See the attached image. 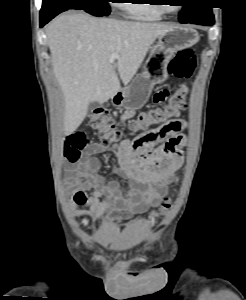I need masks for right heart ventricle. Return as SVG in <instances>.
<instances>
[{
    "label": "right heart ventricle",
    "instance_id": "obj_1",
    "mask_svg": "<svg viewBox=\"0 0 246 300\" xmlns=\"http://www.w3.org/2000/svg\"><path fill=\"white\" fill-rule=\"evenodd\" d=\"M132 3L122 4L126 15L132 19L146 22L160 21L163 12L154 0H130Z\"/></svg>",
    "mask_w": 246,
    "mask_h": 300
}]
</instances>
